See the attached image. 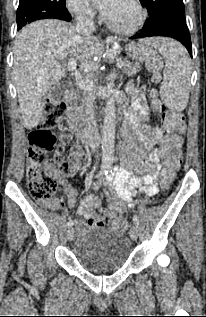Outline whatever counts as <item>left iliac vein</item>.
Returning <instances> with one entry per match:
<instances>
[{"mask_svg": "<svg viewBox=\"0 0 206 317\" xmlns=\"http://www.w3.org/2000/svg\"><path fill=\"white\" fill-rule=\"evenodd\" d=\"M138 228H137V226H132V228L130 229V237H131V239L132 240H137V238H138Z\"/></svg>", "mask_w": 206, "mask_h": 317, "instance_id": "1", "label": "left iliac vein"}]
</instances>
